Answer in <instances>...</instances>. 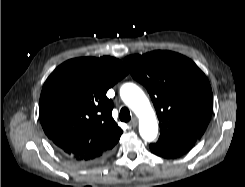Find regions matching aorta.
I'll list each match as a JSON object with an SVG mask.
<instances>
[{
	"label": "aorta",
	"mask_w": 245,
	"mask_h": 187,
	"mask_svg": "<svg viewBox=\"0 0 245 187\" xmlns=\"http://www.w3.org/2000/svg\"><path fill=\"white\" fill-rule=\"evenodd\" d=\"M120 96L138 116L139 132L145 141H153L158 133V123L150 102L144 92L133 83H126L120 89Z\"/></svg>",
	"instance_id": "aorta-1"
}]
</instances>
